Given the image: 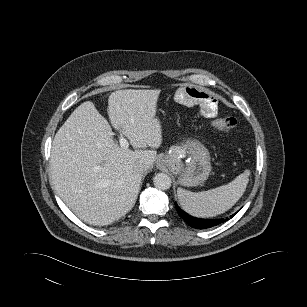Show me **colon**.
I'll return each mask as SVG.
<instances>
[{
	"label": "colon",
	"instance_id": "obj_1",
	"mask_svg": "<svg viewBox=\"0 0 307 307\" xmlns=\"http://www.w3.org/2000/svg\"><path fill=\"white\" fill-rule=\"evenodd\" d=\"M237 126V121L232 117L218 118L211 122V128L222 132H230Z\"/></svg>",
	"mask_w": 307,
	"mask_h": 307
}]
</instances>
